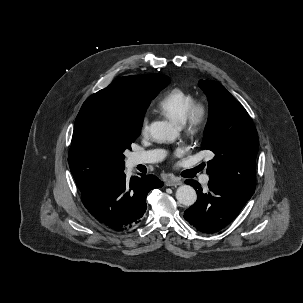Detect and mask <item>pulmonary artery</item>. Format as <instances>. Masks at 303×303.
I'll use <instances>...</instances> for the list:
<instances>
[{
  "mask_svg": "<svg viewBox=\"0 0 303 303\" xmlns=\"http://www.w3.org/2000/svg\"><path fill=\"white\" fill-rule=\"evenodd\" d=\"M163 158V152L160 150H152L146 151L141 153H134L131 155L130 161L132 165L138 164H147V163H154ZM201 182L204 185H207L209 182V176L203 175L201 177Z\"/></svg>",
  "mask_w": 303,
  "mask_h": 303,
  "instance_id": "e3ab8cb5",
  "label": "pulmonary artery"
}]
</instances>
